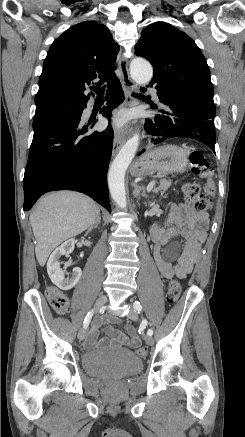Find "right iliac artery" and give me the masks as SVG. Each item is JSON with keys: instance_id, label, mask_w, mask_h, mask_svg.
<instances>
[{"instance_id": "right-iliac-artery-1", "label": "right iliac artery", "mask_w": 245, "mask_h": 437, "mask_svg": "<svg viewBox=\"0 0 245 437\" xmlns=\"http://www.w3.org/2000/svg\"><path fill=\"white\" fill-rule=\"evenodd\" d=\"M94 314V310L92 309L90 312L87 313L84 322H83V327L86 329L92 319V316Z\"/></svg>"}]
</instances>
